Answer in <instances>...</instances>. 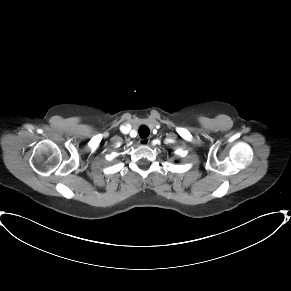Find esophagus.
I'll return each mask as SVG.
<instances>
[{
    "label": "esophagus",
    "instance_id": "obj_1",
    "mask_svg": "<svg viewBox=\"0 0 291 291\" xmlns=\"http://www.w3.org/2000/svg\"><path fill=\"white\" fill-rule=\"evenodd\" d=\"M149 142H150V139H148V138L139 140L140 145H148Z\"/></svg>",
    "mask_w": 291,
    "mask_h": 291
}]
</instances>
